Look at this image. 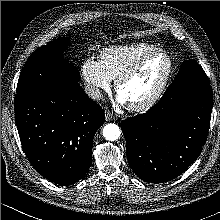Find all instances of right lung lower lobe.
<instances>
[{
    "instance_id": "1",
    "label": "right lung lower lobe",
    "mask_w": 220,
    "mask_h": 220,
    "mask_svg": "<svg viewBox=\"0 0 220 220\" xmlns=\"http://www.w3.org/2000/svg\"><path fill=\"white\" fill-rule=\"evenodd\" d=\"M15 122L34 169L59 185L78 182L92 162L93 138L104 111L77 83L15 95Z\"/></svg>"
}]
</instances>
